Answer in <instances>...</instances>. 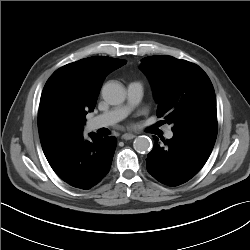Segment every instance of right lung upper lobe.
I'll return each instance as SVG.
<instances>
[{
  "mask_svg": "<svg viewBox=\"0 0 250 250\" xmlns=\"http://www.w3.org/2000/svg\"><path fill=\"white\" fill-rule=\"evenodd\" d=\"M125 60L93 56L56 70L42 91L38 129L43 151L83 133L88 112L94 110L105 77Z\"/></svg>",
  "mask_w": 250,
  "mask_h": 250,
  "instance_id": "1",
  "label": "right lung upper lobe"
}]
</instances>
